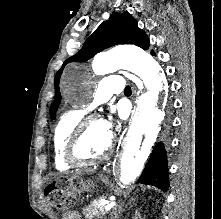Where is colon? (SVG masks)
<instances>
[{
	"instance_id": "5ec220e1",
	"label": "colon",
	"mask_w": 221,
	"mask_h": 219,
	"mask_svg": "<svg viewBox=\"0 0 221 219\" xmlns=\"http://www.w3.org/2000/svg\"><path fill=\"white\" fill-rule=\"evenodd\" d=\"M65 189L62 186L61 183L57 182V183H52L47 187V195H50V200L52 202V204L58 208L61 209H68L71 206V194L68 192H65V202H61L59 200L60 195H64ZM62 197V196H61Z\"/></svg>"
}]
</instances>
